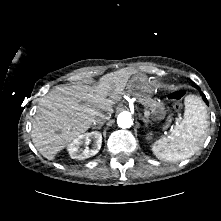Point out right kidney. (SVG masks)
Instances as JSON below:
<instances>
[{
  "mask_svg": "<svg viewBox=\"0 0 221 221\" xmlns=\"http://www.w3.org/2000/svg\"><path fill=\"white\" fill-rule=\"evenodd\" d=\"M94 140L92 149L87 146L91 140ZM85 144V149H81V145ZM102 145V135L100 132L93 131L79 135L67 147L69 155L72 159L83 160L96 155Z\"/></svg>",
  "mask_w": 221,
  "mask_h": 221,
  "instance_id": "right-kidney-1",
  "label": "right kidney"
}]
</instances>
